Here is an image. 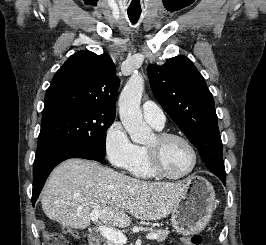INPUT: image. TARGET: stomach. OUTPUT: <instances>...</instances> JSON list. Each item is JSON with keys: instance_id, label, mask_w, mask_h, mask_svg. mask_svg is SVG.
Wrapping results in <instances>:
<instances>
[{"instance_id": "obj_1", "label": "stomach", "mask_w": 266, "mask_h": 245, "mask_svg": "<svg viewBox=\"0 0 266 245\" xmlns=\"http://www.w3.org/2000/svg\"><path fill=\"white\" fill-rule=\"evenodd\" d=\"M188 187L171 211V223L178 235H197L207 227L214 211L215 191L204 177L191 175Z\"/></svg>"}]
</instances>
